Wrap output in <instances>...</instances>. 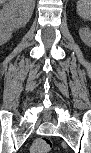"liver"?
<instances>
[{
  "label": "liver",
  "instance_id": "liver-1",
  "mask_svg": "<svg viewBox=\"0 0 91 153\" xmlns=\"http://www.w3.org/2000/svg\"><path fill=\"white\" fill-rule=\"evenodd\" d=\"M5 2V0H1V3H4ZM28 3H30L31 5H34L35 3H34V0H28Z\"/></svg>",
  "mask_w": 91,
  "mask_h": 153
}]
</instances>
